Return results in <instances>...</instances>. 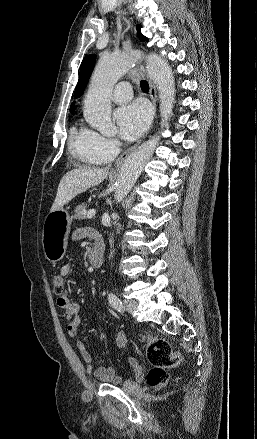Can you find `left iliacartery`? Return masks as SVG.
<instances>
[{
    "instance_id": "obj_1",
    "label": "left iliac artery",
    "mask_w": 257,
    "mask_h": 439,
    "mask_svg": "<svg viewBox=\"0 0 257 439\" xmlns=\"http://www.w3.org/2000/svg\"><path fill=\"white\" fill-rule=\"evenodd\" d=\"M109 303L113 308H115L117 311L122 312L123 311V305L121 300L113 293L108 294Z\"/></svg>"
}]
</instances>
